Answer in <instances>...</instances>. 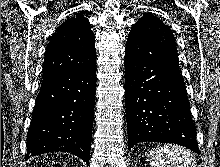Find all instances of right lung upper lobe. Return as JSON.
<instances>
[{"instance_id": "right-lung-upper-lobe-1", "label": "right lung upper lobe", "mask_w": 220, "mask_h": 167, "mask_svg": "<svg viewBox=\"0 0 220 167\" xmlns=\"http://www.w3.org/2000/svg\"><path fill=\"white\" fill-rule=\"evenodd\" d=\"M96 61L95 37L89 21L80 14L53 33L46 49L43 80L86 69Z\"/></svg>"}]
</instances>
